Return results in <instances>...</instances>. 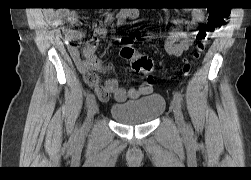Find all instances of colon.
<instances>
[{
	"mask_svg": "<svg viewBox=\"0 0 251 180\" xmlns=\"http://www.w3.org/2000/svg\"><path fill=\"white\" fill-rule=\"evenodd\" d=\"M229 17L228 9L213 8L209 10L206 23L201 26L196 34V50L193 54V60L184 65L183 72L188 74L192 68L194 60H197L206 48L212 32L222 27ZM138 37L136 33H128L118 38L121 45L120 55L122 58L130 61L132 69L147 78V82H152L153 62L145 55L136 53L133 44Z\"/></svg>",
	"mask_w": 251,
	"mask_h": 180,
	"instance_id": "1",
	"label": "colon"
}]
</instances>
